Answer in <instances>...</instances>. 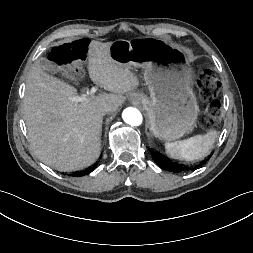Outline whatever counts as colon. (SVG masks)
Segmentation results:
<instances>
[{
	"instance_id": "1",
	"label": "colon",
	"mask_w": 253,
	"mask_h": 253,
	"mask_svg": "<svg viewBox=\"0 0 253 253\" xmlns=\"http://www.w3.org/2000/svg\"><path fill=\"white\" fill-rule=\"evenodd\" d=\"M88 49L86 39H77L64 43L52 49V60L58 65H69L85 59ZM201 96L208 101L205 116L202 120V127L210 129L216 124L220 116V103L218 94L220 82L210 72H203L197 80Z\"/></svg>"
}]
</instances>
